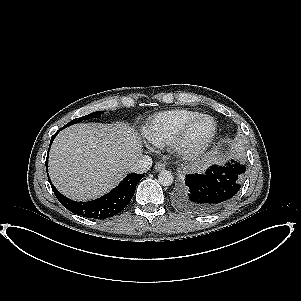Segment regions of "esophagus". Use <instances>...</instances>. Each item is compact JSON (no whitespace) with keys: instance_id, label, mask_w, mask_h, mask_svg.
<instances>
[{"instance_id":"esophagus-1","label":"esophagus","mask_w":301,"mask_h":301,"mask_svg":"<svg viewBox=\"0 0 301 301\" xmlns=\"http://www.w3.org/2000/svg\"><path fill=\"white\" fill-rule=\"evenodd\" d=\"M154 168L156 171H161V170L165 169V163L162 161H158L155 163Z\"/></svg>"}]
</instances>
